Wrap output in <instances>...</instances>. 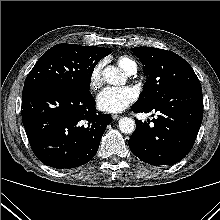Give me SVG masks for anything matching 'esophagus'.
Returning <instances> with one entry per match:
<instances>
[{"mask_svg": "<svg viewBox=\"0 0 220 220\" xmlns=\"http://www.w3.org/2000/svg\"><path fill=\"white\" fill-rule=\"evenodd\" d=\"M112 118H113V120H119L121 118V116L117 115V114H113Z\"/></svg>", "mask_w": 220, "mask_h": 220, "instance_id": "1", "label": "esophagus"}]
</instances>
